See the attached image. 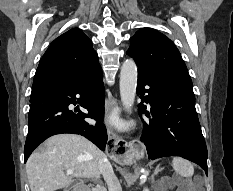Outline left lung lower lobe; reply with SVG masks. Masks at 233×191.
<instances>
[{
	"instance_id": "1",
	"label": "left lung lower lobe",
	"mask_w": 233,
	"mask_h": 191,
	"mask_svg": "<svg viewBox=\"0 0 233 191\" xmlns=\"http://www.w3.org/2000/svg\"><path fill=\"white\" fill-rule=\"evenodd\" d=\"M145 92L149 94L142 98L139 109L150 117L142 103L151 105L152 118L148 124L144 122L141 137L148 158L180 156L195 162L208 174L207 147L195 109L193 89L138 70L137 94Z\"/></svg>"
}]
</instances>
